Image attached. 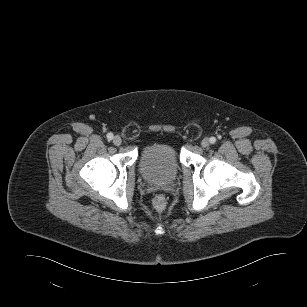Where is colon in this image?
<instances>
[{"instance_id":"colon-1","label":"colon","mask_w":307,"mask_h":307,"mask_svg":"<svg viewBox=\"0 0 307 307\" xmlns=\"http://www.w3.org/2000/svg\"><path fill=\"white\" fill-rule=\"evenodd\" d=\"M153 206L157 211H162L166 206V200L163 195H157L153 200Z\"/></svg>"}]
</instances>
